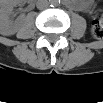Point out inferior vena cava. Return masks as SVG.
<instances>
[{
	"label": "inferior vena cava",
	"instance_id": "1",
	"mask_svg": "<svg viewBox=\"0 0 103 103\" xmlns=\"http://www.w3.org/2000/svg\"><path fill=\"white\" fill-rule=\"evenodd\" d=\"M37 8L40 10H44L46 8H48L49 6V2L47 0H39L37 1Z\"/></svg>",
	"mask_w": 103,
	"mask_h": 103
}]
</instances>
